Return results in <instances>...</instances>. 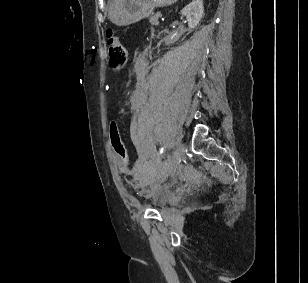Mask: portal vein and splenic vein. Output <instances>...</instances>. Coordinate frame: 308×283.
Masks as SVG:
<instances>
[{"label":"portal vein and splenic vein","mask_w":308,"mask_h":283,"mask_svg":"<svg viewBox=\"0 0 308 283\" xmlns=\"http://www.w3.org/2000/svg\"><path fill=\"white\" fill-rule=\"evenodd\" d=\"M158 15H159V17H162V14L160 12L158 13Z\"/></svg>","instance_id":"portal-vein-and-splenic-vein-1"}]
</instances>
